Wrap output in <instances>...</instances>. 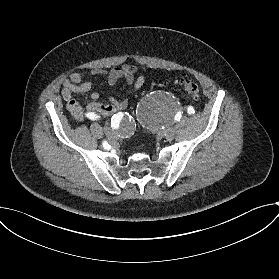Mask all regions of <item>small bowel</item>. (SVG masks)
Masks as SVG:
<instances>
[{
    "instance_id": "obj_1",
    "label": "small bowel",
    "mask_w": 279,
    "mask_h": 279,
    "mask_svg": "<svg viewBox=\"0 0 279 279\" xmlns=\"http://www.w3.org/2000/svg\"><path fill=\"white\" fill-rule=\"evenodd\" d=\"M138 68L132 64H125L122 67H115L110 70L94 69L90 73L88 79L80 73H72L69 78L64 81L61 94L63 99L67 102V109L76 121H85L93 119L96 115H110L115 112L124 110L129 105V97L121 99L111 98L108 103H100L99 93L92 90V78L95 76H105L109 86H114L118 81L123 80L127 84H134L133 92L138 90L144 83V77L140 76L135 81V75ZM89 95L92 100L86 107H82L80 102L74 98L76 94Z\"/></svg>"
}]
</instances>
